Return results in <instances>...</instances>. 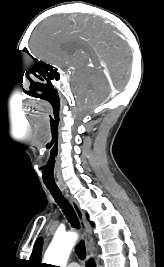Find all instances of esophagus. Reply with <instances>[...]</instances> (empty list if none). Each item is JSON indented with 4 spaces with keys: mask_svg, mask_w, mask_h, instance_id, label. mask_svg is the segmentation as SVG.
<instances>
[{
    "mask_svg": "<svg viewBox=\"0 0 164 267\" xmlns=\"http://www.w3.org/2000/svg\"><path fill=\"white\" fill-rule=\"evenodd\" d=\"M67 197L71 202V205L76 213L81 229L83 231L85 247H86V261L88 262L93 258V251H92L93 238H92L91 228L78 202L69 194H67Z\"/></svg>",
    "mask_w": 164,
    "mask_h": 267,
    "instance_id": "1",
    "label": "esophagus"
}]
</instances>
